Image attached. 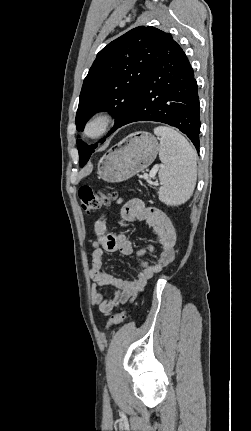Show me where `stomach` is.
<instances>
[{"instance_id":"stomach-1","label":"stomach","mask_w":251,"mask_h":431,"mask_svg":"<svg viewBox=\"0 0 251 431\" xmlns=\"http://www.w3.org/2000/svg\"><path fill=\"white\" fill-rule=\"evenodd\" d=\"M159 151L157 139L148 132H136L109 149L98 164L99 178L106 182L125 181L146 169Z\"/></svg>"}]
</instances>
